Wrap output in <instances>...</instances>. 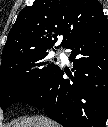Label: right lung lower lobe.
Instances as JSON below:
<instances>
[{"label":"right lung lower lobe","mask_w":108,"mask_h":127,"mask_svg":"<svg viewBox=\"0 0 108 127\" xmlns=\"http://www.w3.org/2000/svg\"><path fill=\"white\" fill-rule=\"evenodd\" d=\"M75 78L60 67L38 90L24 98L64 127H104L108 117V21L75 37L66 47ZM67 74V72H66Z\"/></svg>","instance_id":"obj_1"}]
</instances>
